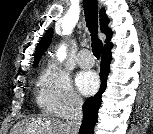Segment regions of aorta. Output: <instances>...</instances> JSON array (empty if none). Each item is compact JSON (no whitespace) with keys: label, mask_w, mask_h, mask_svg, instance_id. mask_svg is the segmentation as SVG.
<instances>
[{"label":"aorta","mask_w":153,"mask_h":134,"mask_svg":"<svg viewBox=\"0 0 153 134\" xmlns=\"http://www.w3.org/2000/svg\"><path fill=\"white\" fill-rule=\"evenodd\" d=\"M66 57V46L62 45L58 51V58L64 60Z\"/></svg>","instance_id":"762f6f07"}]
</instances>
